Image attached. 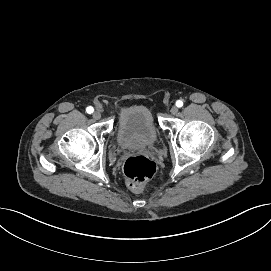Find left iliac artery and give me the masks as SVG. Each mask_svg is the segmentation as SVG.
<instances>
[{
    "mask_svg": "<svg viewBox=\"0 0 271 271\" xmlns=\"http://www.w3.org/2000/svg\"><path fill=\"white\" fill-rule=\"evenodd\" d=\"M176 106H177V107H182V106H183V102H182L181 100H178V101L176 102Z\"/></svg>",
    "mask_w": 271,
    "mask_h": 271,
    "instance_id": "1",
    "label": "left iliac artery"
}]
</instances>
